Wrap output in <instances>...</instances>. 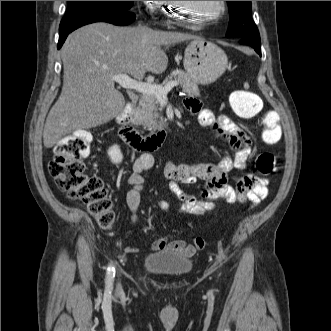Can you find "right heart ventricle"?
Returning <instances> with one entry per match:
<instances>
[{
  "label": "right heart ventricle",
  "mask_w": 331,
  "mask_h": 331,
  "mask_svg": "<svg viewBox=\"0 0 331 331\" xmlns=\"http://www.w3.org/2000/svg\"><path fill=\"white\" fill-rule=\"evenodd\" d=\"M169 4H170V2L169 1H166V8H167V6H169ZM168 8H170V7H168Z\"/></svg>",
  "instance_id": "right-heart-ventricle-1"
}]
</instances>
